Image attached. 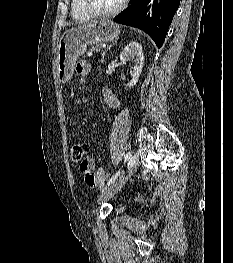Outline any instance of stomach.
I'll return each mask as SVG.
<instances>
[{"instance_id": "0dacf381", "label": "stomach", "mask_w": 233, "mask_h": 263, "mask_svg": "<svg viewBox=\"0 0 233 263\" xmlns=\"http://www.w3.org/2000/svg\"><path fill=\"white\" fill-rule=\"evenodd\" d=\"M119 33V25L110 20L67 30L60 38L57 51V76L60 82L65 83L72 77L75 62L85 53L88 45L114 40Z\"/></svg>"}]
</instances>
